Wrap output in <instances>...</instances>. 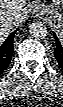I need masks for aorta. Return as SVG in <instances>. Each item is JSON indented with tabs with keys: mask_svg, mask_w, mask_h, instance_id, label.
<instances>
[{
	"mask_svg": "<svg viewBox=\"0 0 63 107\" xmlns=\"http://www.w3.org/2000/svg\"><path fill=\"white\" fill-rule=\"evenodd\" d=\"M47 27L43 22H34L29 26V34L34 39H44L47 35Z\"/></svg>",
	"mask_w": 63,
	"mask_h": 107,
	"instance_id": "obj_1",
	"label": "aorta"
}]
</instances>
